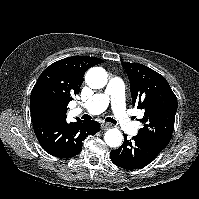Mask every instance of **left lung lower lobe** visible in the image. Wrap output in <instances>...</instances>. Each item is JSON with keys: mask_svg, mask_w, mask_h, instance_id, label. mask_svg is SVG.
I'll use <instances>...</instances> for the list:
<instances>
[{"mask_svg": "<svg viewBox=\"0 0 199 199\" xmlns=\"http://www.w3.org/2000/svg\"><path fill=\"white\" fill-rule=\"evenodd\" d=\"M164 148L138 134L110 153L111 161L118 167L132 170L147 166Z\"/></svg>", "mask_w": 199, "mask_h": 199, "instance_id": "0a47b994", "label": "left lung lower lobe"}]
</instances>
